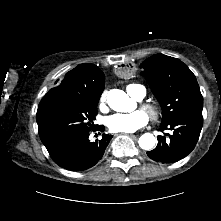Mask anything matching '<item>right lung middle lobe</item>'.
Listing matches in <instances>:
<instances>
[{
	"mask_svg": "<svg viewBox=\"0 0 221 221\" xmlns=\"http://www.w3.org/2000/svg\"><path fill=\"white\" fill-rule=\"evenodd\" d=\"M99 98L88 101L51 99L36 114L39 135L48 152H55L94 129Z\"/></svg>",
	"mask_w": 221,
	"mask_h": 221,
	"instance_id": "right-lung-middle-lobe-1",
	"label": "right lung middle lobe"
}]
</instances>
